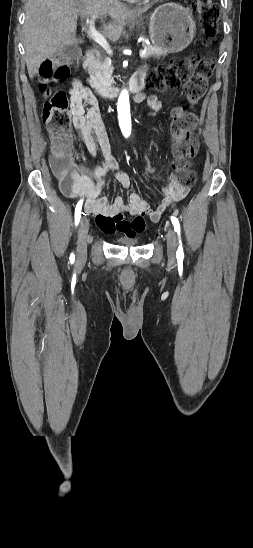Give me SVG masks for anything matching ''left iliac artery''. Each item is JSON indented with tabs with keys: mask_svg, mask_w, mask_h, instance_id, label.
Here are the masks:
<instances>
[{
	"mask_svg": "<svg viewBox=\"0 0 253 548\" xmlns=\"http://www.w3.org/2000/svg\"><path fill=\"white\" fill-rule=\"evenodd\" d=\"M170 218H171V222L174 226V230H175V232H177L178 238H179V246H178L176 255H177V258L182 259L184 257V253H183V247H182V243H181V239H180V224H179V221L176 217L171 216Z\"/></svg>",
	"mask_w": 253,
	"mask_h": 548,
	"instance_id": "obj_1",
	"label": "left iliac artery"
}]
</instances>
